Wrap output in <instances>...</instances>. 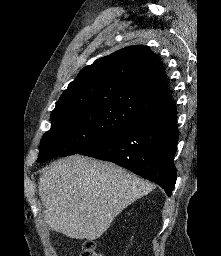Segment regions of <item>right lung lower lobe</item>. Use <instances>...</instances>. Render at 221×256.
<instances>
[{"label": "right lung lower lobe", "mask_w": 221, "mask_h": 256, "mask_svg": "<svg viewBox=\"0 0 221 256\" xmlns=\"http://www.w3.org/2000/svg\"><path fill=\"white\" fill-rule=\"evenodd\" d=\"M178 141L177 111L154 115L121 128L79 154L110 161L160 185L171 196Z\"/></svg>", "instance_id": "obj_1"}]
</instances>
